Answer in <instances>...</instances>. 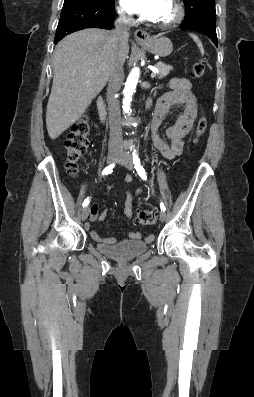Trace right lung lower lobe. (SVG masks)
<instances>
[{
  "mask_svg": "<svg viewBox=\"0 0 254 397\" xmlns=\"http://www.w3.org/2000/svg\"><path fill=\"white\" fill-rule=\"evenodd\" d=\"M114 16V8L100 9L75 0H64L54 43L56 44L67 34L85 28L111 29Z\"/></svg>",
  "mask_w": 254,
  "mask_h": 397,
  "instance_id": "obj_1",
  "label": "right lung lower lobe"
}]
</instances>
